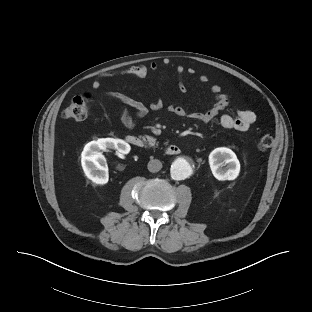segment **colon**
<instances>
[{
    "label": "colon",
    "mask_w": 312,
    "mask_h": 312,
    "mask_svg": "<svg viewBox=\"0 0 312 312\" xmlns=\"http://www.w3.org/2000/svg\"><path fill=\"white\" fill-rule=\"evenodd\" d=\"M90 114L89 100L87 96H75L73 97L67 107L62 112V116L65 119L82 121L88 118ZM274 138L270 134H265L260 137L258 141V148L261 151H265L272 147Z\"/></svg>",
    "instance_id": "obj_1"
}]
</instances>
